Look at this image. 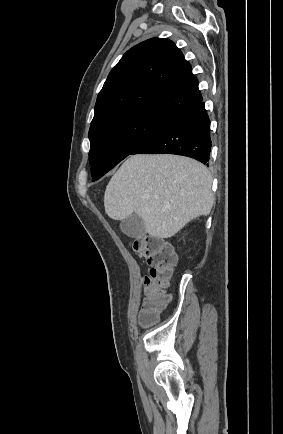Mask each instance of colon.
<instances>
[{"instance_id": "obj_1", "label": "colon", "mask_w": 283, "mask_h": 434, "mask_svg": "<svg viewBox=\"0 0 283 434\" xmlns=\"http://www.w3.org/2000/svg\"><path fill=\"white\" fill-rule=\"evenodd\" d=\"M132 248L151 267L144 279L145 299L140 314V324L146 326L158 319L169 300L167 289L176 258L170 246L155 237H138Z\"/></svg>"}]
</instances>
